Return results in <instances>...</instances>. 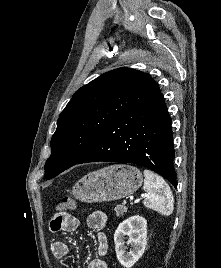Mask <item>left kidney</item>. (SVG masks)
<instances>
[{
	"instance_id": "left-kidney-1",
	"label": "left kidney",
	"mask_w": 221,
	"mask_h": 268,
	"mask_svg": "<svg viewBox=\"0 0 221 268\" xmlns=\"http://www.w3.org/2000/svg\"><path fill=\"white\" fill-rule=\"evenodd\" d=\"M125 236H128V245L132 250L126 254ZM116 256L119 263L125 268H131L143 255L147 244V221L136 215L132 216L117 227L114 234Z\"/></svg>"
}]
</instances>
